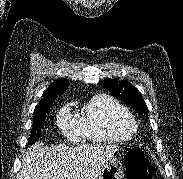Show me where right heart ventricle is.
Listing matches in <instances>:
<instances>
[{"mask_svg": "<svg viewBox=\"0 0 183 179\" xmlns=\"http://www.w3.org/2000/svg\"><path fill=\"white\" fill-rule=\"evenodd\" d=\"M132 115L118 100L98 94L84 106L80 130L92 142H122L132 138Z\"/></svg>", "mask_w": 183, "mask_h": 179, "instance_id": "obj_1", "label": "right heart ventricle"}]
</instances>
